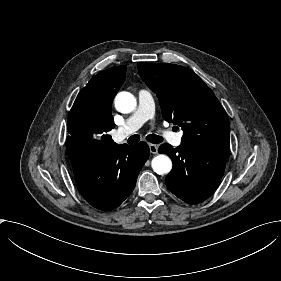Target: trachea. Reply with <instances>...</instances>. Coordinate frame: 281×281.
I'll list each match as a JSON object with an SVG mask.
<instances>
[{"label":"trachea","instance_id":"trachea-1","mask_svg":"<svg viewBox=\"0 0 281 281\" xmlns=\"http://www.w3.org/2000/svg\"><path fill=\"white\" fill-rule=\"evenodd\" d=\"M139 139H140V138H139L138 135H132V136L129 138L128 142H129L130 144H135V143H137V142L139 141ZM147 140H148L149 142H151V143L159 144V143H161V142L164 141V137L159 136V135H155V134H150V135L147 136Z\"/></svg>","mask_w":281,"mask_h":281}]
</instances>
